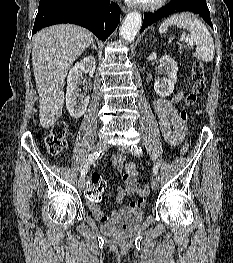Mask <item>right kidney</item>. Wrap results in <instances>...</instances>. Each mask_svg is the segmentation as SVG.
Wrapping results in <instances>:
<instances>
[{
	"instance_id": "obj_1",
	"label": "right kidney",
	"mask_w": 233,
	"mask_h": 263,
	"mask_svg": "<svg viewBox=\"0 0 233 263\" xmlns=\"http://www.w3.org/2000/svg\"><path fill=\"white\" fill-rule=\"evenodd\" d=\"M96 69V61L93 56H87L70 69L67 77L66 107L72 118H80L87 110L89 96H81L78 92L80 77L83 72L93 75Z\"/></svg>"
}]
</instances>
